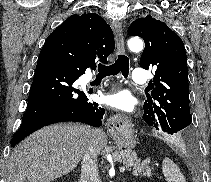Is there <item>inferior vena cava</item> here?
<instances>
[{"label":"inferior vena cava","mask_w":211,"mask_h":182,"mask_svg":"<svg viewBox=\"0 0 211 182\" xmlns=\"http://www.w3.org/2000/svg\"><path fill=\"white\" fill-rule=\"evenodd\" d=\"M97 156L98 152L91 137L82 156L81 182H98Z\"/></svg>","instance_id":"602c4592"}]
</instances>
